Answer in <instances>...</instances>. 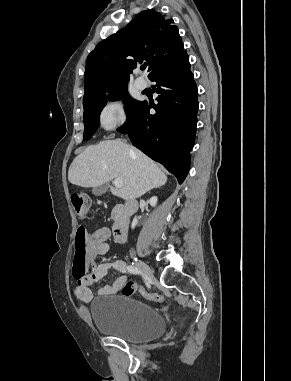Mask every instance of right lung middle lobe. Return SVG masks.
I'll use <instances>...</instances> for the list:
<instances>
[{
  "mask_svg": "<svg viewBox=\"0 0 291 381\" xmlns=\"http://www.w3.org/2000/svg\"><path fill=\"white\" fill-rule=\"evenodd\" d=\"M109 95L106 96L105 93L100 97L96 98L93 101H90L83 105L84 107V135L83 140L86 141L91 138V136L95 133L97 128L99 127V115L103 107L107 103V98L111 101L125 99L128 97L127 86L118 87L112 90H109ZM127 107L126 112L128 116L132 115L136 110L139 101L128 98L126 101Z\"/></svg>",
  "mask_w": 291,
  "mask_h": 381,
  "instance_id": "right-lung-middle-lobe-1",
  "label": "right lung middle lobe"
}]
</instances>
